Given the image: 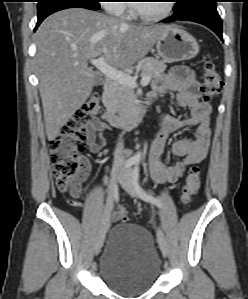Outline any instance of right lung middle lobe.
Instances as JSON below:
<instances>
[{"label": "right lung middle lobe", "mask_w": 248, "mask_h": 299, "mask_svg": "<svg viewBox=\"0 0 248 299\" xmlns=\"http://www.w3.org/2000/svg\"><path fill=\"white\" fill-rule=\"evenodd\" d=\"M59 1H73V2H80L88 6H92L94 8H99V0H39L38 2V11Z\"/></svg>", "instance_id": "dd1d6c3e"}]
</instances>
